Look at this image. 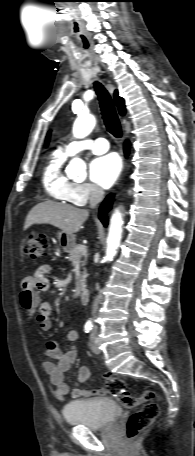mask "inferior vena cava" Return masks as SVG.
I'll use <instances>...</instances> for the list:
<instances>
[{"label":"inferior vena cava","instance_id":"inferior-vena-cava-1","mask_svg":"<svg viewBox=\"0 0 195 456\" xmlns=\"http://www.w3.org/2000/svg\"><path fill=\"white\" fill-rule=\"evenodd\" d=\"M103 198H104L103 189H101L100 187L95 186V185L92 186L91 190H90V198H89L90 207L95 208L102 201ZM99 302H100V297L99 296L95 297L93 304H92V312H91L92 316H94L96 314V312L98 310Z\"/></svg>","mask_w":195,"mask_h":456}]
</instances>
